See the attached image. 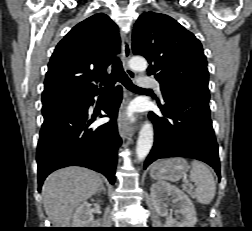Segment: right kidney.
Masks as SVG:
<instances>
[{"label": "right kidney", "mask_w": 252, "mask_h": 231, "mask_svg": "<svg viewBox=\"0 0 252 231\" xmlns=\"http://www.w3.org/2000/svg\"><path fill=\"white\" fill-rule=\"evenodd\" d=\"M72 224L74 228H89L94 225V217L90 204L84 202L76 209Z\"/></svg>", "instance_id": "right-kidney-1"}]
</instances>
